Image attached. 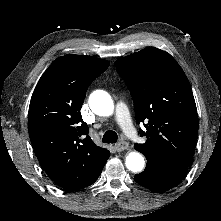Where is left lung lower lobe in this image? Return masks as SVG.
Masks as SVG:
<instances>
[{
    "instance_id": "1",
    "label": "left lung lower lobe",
    "mask_w": 221,
    "mask_h": 221,
    "mask_svg": "<svg viewBox=\"0 0 221 221\" xmlns=\"http://www.w3.org/2000/svg\"><path fill=\"white\" fill-rule=\"evenodd\" d=\"M187 169H178L164 165H149L145 170L134 176V180L148 189L164 192L178 185Z\"/></svg>"
}]
</instances>
